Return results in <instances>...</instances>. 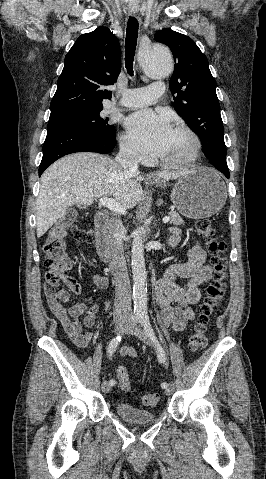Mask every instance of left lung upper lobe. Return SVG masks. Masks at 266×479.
<instances>
[{"label":"left lung upper lobe","mask_w":266,"mask_h":479,"mask_svg":"<svg viewBox=\"0 0 266 479\" xmlns=\"http://www.w3.org/2000/svg\"><path fill=\"white\" fill-rule=\"evenodd\" d=\"M155 40L172 51L175 64L169 86L174 109L199 136L205 156L217 169H227L224 127L207 57L186 35L171 29L159 30Z\"/></svg>","instance_id":"left-lung-upper-lobe-1"}]
</instances>
